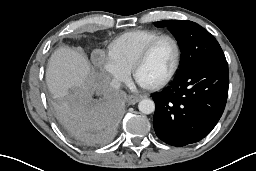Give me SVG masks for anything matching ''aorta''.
<instances>
[{
  "mask_svg": "<svg viewBox=\"0 0 256 171\" xmlns=\"http://www.w3.org/2000/svg\"><path fill=\"white\" fill-rule=\"evenodd\" d=\"M138 109L143 114H151L155 110V103L151 99H143L139 102Z\"/></svg>",
  "mask_w": 256,
  "mask_h": 171,
  "instance_id": "762f6f07",
  "label": "aorta"
}]
</instances>
